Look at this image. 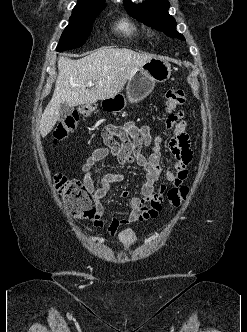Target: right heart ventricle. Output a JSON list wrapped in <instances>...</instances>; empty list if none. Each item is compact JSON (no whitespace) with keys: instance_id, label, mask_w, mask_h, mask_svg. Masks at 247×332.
Instances as JSON below:
<instances>
[{"instance_id":"right-heart-ventricle-1","label":"right heart ventricle","mask_w":247,"mask_h":332,"mask_svg":"<svg viewBox=\"0 0 247 332\" xmlns=\"http://www.w3.org/2000/svg\"><path fill=\"white\" fill-rule=\"evenodd\" d=\"M117 30L123 36L128 38H136L140 34L139 28L129 20H122L117 25Z\"/></svg>"}]
</instances>
